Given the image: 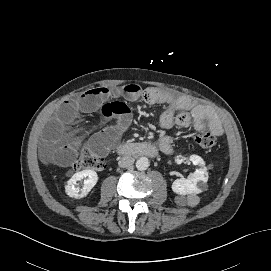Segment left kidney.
I'll use <instances>...</instances> for the list:
<instances>
[{
  "label": "left kidney",
  "instance_id": "5707ae66",
  "mask_svg": "<svg viewBox=\"0 0 271 271\" xmlns=\"http://www.w3.org/2000/svg\"><path fill=\"white\" fill-rule=\"evenodd\" d=\"M183 157H177L176 162L180 164ZM189 160L194 164L200 166L193 172L188 179H176L172 184V190L179 195L197 194L201 192V186H204L208 180V169L205 166L204 160L198 155H191Z\"/></svg>",
  "mask_w": 271,
  "mask_h": 271
}]
</instances>
